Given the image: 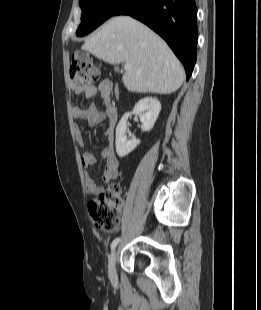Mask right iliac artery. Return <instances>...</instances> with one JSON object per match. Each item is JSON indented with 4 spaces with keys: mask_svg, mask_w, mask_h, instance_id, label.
<instances>
[{
    "mask_svg": "<svg viewBox=\"0 0 261 310\" xmlns=\"http://www.w3.org/2000/svg\"><path fill=\"white\" fill-rule=\"evenodd\" d=\"M119 241H120V238H115V239L112 241V243H111V250H113V249L117 246V244L119 243Z\"/></svg>",
    "mask_w": 261,
    "mask_h": 310,
    "instance_id": "right-iliac-artery-1",
    "label": "right iliac artery"
}]
</instances>
